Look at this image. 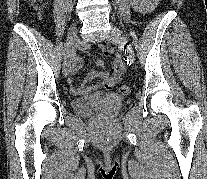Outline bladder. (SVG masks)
I'll return each instance as SVG.
<instances>
[{
	"label": "bladder",
	"instance_id": "bladder-1",
	"mask_svg": "<svg viewBox=\"0 0 207 179\" xmlns=\"http://www.w3.org/2000/svg\"><path fill=\"white\" fill-rule=\"evenodd\" d=\"M109 97L108 94L104 93H95L81 97L73 101V109L82 116H92L100 111H108L112 109L107 102Z\"/></svg>",
	"mask_w": 207,
	"mask_h": 179
}]
</instances>
